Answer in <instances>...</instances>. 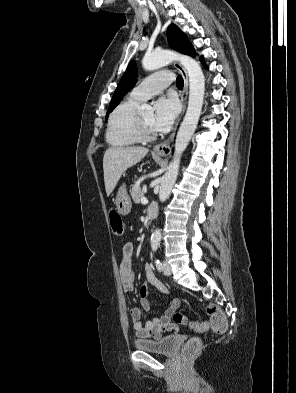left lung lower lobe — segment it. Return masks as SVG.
Returning <instances> with one entry per match:
<instances>
[{
    "label": "left lung lower lobe",
    "instance_id": "1",
    "mask_svg": "<svg viewBox=\"0 0 296 393\" xmlns=\"http://www.w3.org/2000/svg\"><path fill=\"white\" fill-rule=\"evenodd\" d=\"M200 61L203 62V57H200Z\"/></svg>",
    "mask_w": 296,
    "mask_h": 393
}]
</instances>
